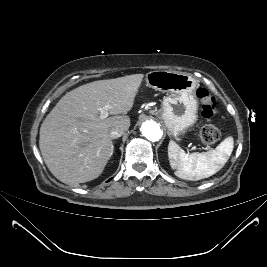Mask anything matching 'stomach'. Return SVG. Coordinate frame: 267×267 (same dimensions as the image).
<instances>
[{
  "label": "stomach",
  "mask_w": 267,
  "mask_h": 267,
  "mask_svg": "<svg viewBox=\"0 0 267 267\" xmlns=\"http://www.w3.org/2000/svg\"><path fill=\"white\" fill-rule=\"evenodd\" d=\"M150 87L166 94L160 117L169 135H183L197 121L198 101L195 92L198 81L190 74L175 71H153L146 76Z\"/></svg>",
  "instance_id": "obj_1"
}]
</instances>
